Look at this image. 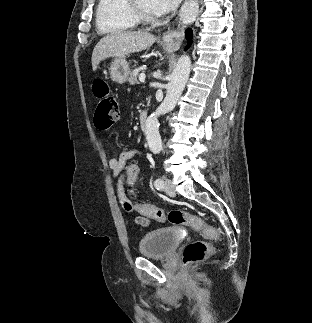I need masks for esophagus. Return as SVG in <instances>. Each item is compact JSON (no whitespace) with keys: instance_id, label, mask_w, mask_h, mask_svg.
Instances as JSON below:
<instances>
[{"instance_id":"esophagus-1","label":"esophagus","mask_w":312,"mask_h":323,"mask_svg":"<svg viewBox=\"0 0 312 323\" xmlns=\"http://www.w3.org/2000/svg\"><path fill=\"white\" fill-rule=\"evenodd\" d=\"M184 38V28L179 23L177 30H167L164 33L162 39L163 42L168 45L171 49H178L181 46V43Z\"/></svg>"}]
</instances>
